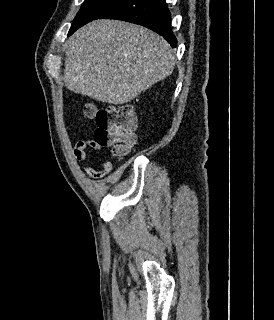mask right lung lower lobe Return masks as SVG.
<instances>
[{
  "label": "right lung lower lobe",
  "mask_w": 274,
  "mask_h": 320,
  "mask_svg": "<svg viewBox=\"0 0 274 320\" xmlns=\"http://www.w3.org/2000/svg\"><path fill=\"white\" fill-rule=\"evenodd\" d=\"M101 18L142 25L163 36L172 47L177 46V40L171 28L170 12L165 0H121L96 19Z\"/></svg>",
  "instance_id": "right-lung-lower-lobe-1"
}]
</instances>
